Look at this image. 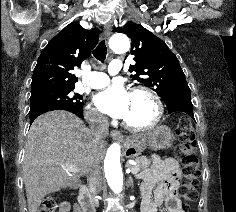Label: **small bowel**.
Masks as SVG:
<instances>
[{
	"instance_id": "small-bowel-1",
	"label": "small bowel",
	"mask_w": 236,
	"mask_h": 212,
	"mask_svg": "<svg viewBox=\"0 0 236 212\" xmlns=\"http://www.w3.org/2000/svg\"><path fill=\"white\" fill-rule=\"evenodd\" d=\"M180 172L178 162L169 158L154 164L146 171L141 185L142 212H159L165 205V212H184L182 203L176 194V183ZM72 206L64 202L59 212H71ZM73 212H79L74 207Z\"/></svg>"
}]
</instances>
